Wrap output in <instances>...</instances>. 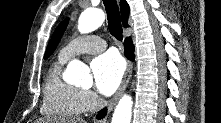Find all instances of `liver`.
<instances>
[{"label": "liver", "mask_w": 221, "mask_h": 123, "mask_svg": "<svg viewBox=\"0 0 221 123\" xmlns=\"http://www.w3.org/2000/svg\"><path fill=\"white\" fill-rule=\"evenodd\" d=\"M45 123V120H37L36 123ZM64 122V121H63ZM69 123H87L85 120L77 118V119H69Z\"/></svg>", "instance_id": "liver-1"}]
</instances>
